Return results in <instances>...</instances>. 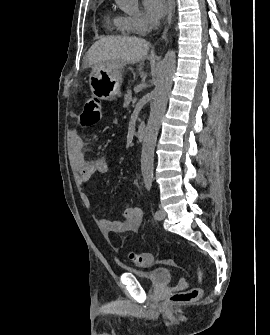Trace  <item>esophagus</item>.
Masks as SVG:
<instances>
[{"instance_id":"esophagus-1","label":"esophagus","mask_w":270,"mask_h":335,"mask_svg":"<svg viewBox=\"0 0 270 335\" xmlns=\"http://www.w3.org/2000/svg\"><path fill=\"white\" fill-rule=\"evenodd\" d=\"M168 3H169V8H168V14H167L166 22H165V28H164V31H163V34H162L163 38L166 37L169 26L171 24L174 0H168Z\"/></svg>"}]
</instances>
